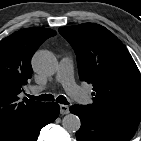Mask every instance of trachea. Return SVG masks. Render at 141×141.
<instances>
[{"instance_id":"trachea-1","label":"trachea","mask_w":141,"mask_h":141,"mask_svg":"<svg viewBox=\"0 0 141 141\" xmlns=\"http://www.w3.org/2000/svg\"><path fill=\"white\" fill-rule=\"evenodd\" d=\"M28 97L32 100H39V101H54V96L51 94H44V95H40V96H32V95H28ZM56 102L61 103V104H69V102L67 101L66 97L64 96H59L56 98Z\"/></svg>"}]
</instances>
